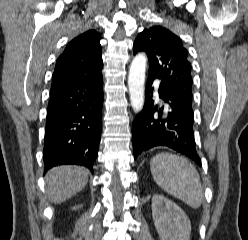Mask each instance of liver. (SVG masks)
I'll return each mask as SVG.
<instances>
[{"instance_id": "liver-1", "label": "liver", "mask_w": 248, "mask_h": 240, "mask_svg": "<svg viewBox=\"0 0 248 240\" xmlns=\"http://www.w3.org/2000/svg\"><path fill=\"white\" fill-rule=\"evenodd\" d=\"M88 171L78 166H58L51 169L45 179L49 199L62 203L80 192L88 181Z\"/></svg>"}]
</instances>
